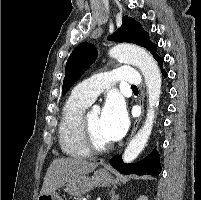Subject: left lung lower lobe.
Masks as SVG:
<instances>
[{
    "label": "left lung lower lobe",
    "mask_w": 201,
    "mask_h": 200,
    "mask_svg": "<svg viewBox=\"0 0 201 200\" xmlns=\"http://www.w3.org/2000/svg\"><path fill=\"white\" fill-rule=\"evenodd\" d=\"M156 61L160 64L161 72L164 77H167L166 71L163 69L164 59L160 56L155 57ZM110 165L122 174H136V175H158L162 168L160 164V156L154 149L142 161L132 164H125L121 155L115 156L110 161Z\"/></svg>",
    "instance_id": "1"
}]
</instances>
